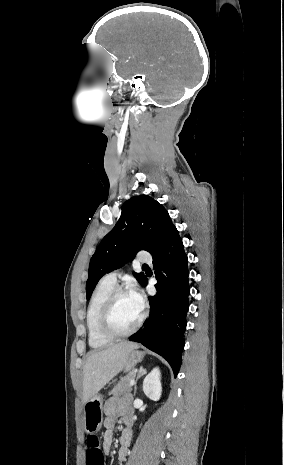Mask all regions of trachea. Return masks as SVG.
<instances>
[{
  "instance_id": "3493384b",
  "label": "trachea",
  "mask_w": 284,
  "mask_h": 465,
  "mask_svg": "<svg viewBox=\"0 0 284 465\" xmlns=\"http://www.w3.org/2000/svg\"><path fill=\"white\" fill-rule=\"evenodd\" d=\"M142 269L150 270L148 265H146V264L142 265Z\"/></svg>"
}]
</instances>
